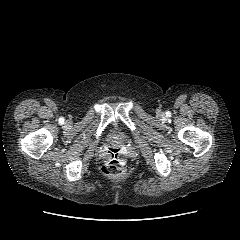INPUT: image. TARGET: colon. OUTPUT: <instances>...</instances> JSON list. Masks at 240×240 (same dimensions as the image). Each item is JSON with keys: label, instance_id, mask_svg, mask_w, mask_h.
Wrapping results in <instances>:
<instances>
[{"label": "colon", "instance_id": "1", "mask_svg": "<svg viewBox=\"0 0 240 240\" xmlns=\"http://www.w3.org/2000/svg\"><path fill=\"white\" fill-rule=\"evenodd\" d=\"M125 170V162L117 150H112L102 166L103 173L108 177H118Z\"/></svg>", "mask_w": 240, "mask_h": 240}]
</instances>
